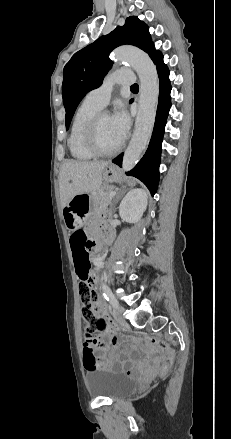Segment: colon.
Segmentation results:
<instances>
[{"mask_svg": "<svg viewBox=\"0 0 231 439\" xmlns=\"http://www.w3.org/2000/svg\"><path fill=\"white\" fill-rule=\"evenodd\" d=\"M75 246H76V254L79 255V248L81 242L88 241L86 240V236L82 234H76L73 236ZM77 274L79 277V296L82 301V314L85 319L86 325V338L92 339V334L96 332H105L108 329V326L102 319H99L95 316V307L99 302V297L97 291L93 286V278L90 274V266L88 263H79L77 267ZM142 340L149 346L158 349L164 355L162 361L161 372L166 374L172 367L175 357L174 350L169 346L167 342L161 340L153 335L144 333L142 334ZM84 367L86 369H96L102 368L104 366L103 363L97 361L93 352L88 351L84 355Z\"/></svg>", "mask_w": 231, "mask_h": 439, "instance_id": "1", "label": "colon"}]
</instances>
